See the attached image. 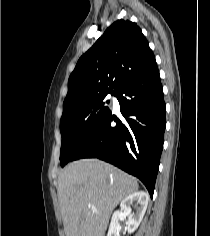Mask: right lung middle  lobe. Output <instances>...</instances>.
Segmentation results:
<instances>
[{
  "label": "right lung middle lobe",
  "mask_w": 210,
  "mask_h": 236,
  "mask_svg": "<svg viewBox=\"0 0 210 236\" xmlns=\"http://www.w3.org/2000/svg\"><path fill=\"white\" fill-rule=\"evenodd\" d=\"M107 94L109 93L87 99L74 109L63 113L60 121L62 167L72 160L88 136L110 112L106 106L109 103V100H105Z\"/></svg>",
  "instance_id": "dd1d6c3e"
}]
</instances>
